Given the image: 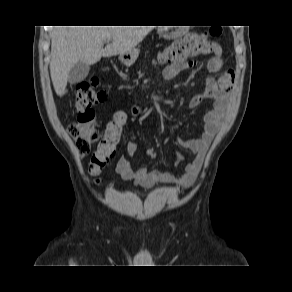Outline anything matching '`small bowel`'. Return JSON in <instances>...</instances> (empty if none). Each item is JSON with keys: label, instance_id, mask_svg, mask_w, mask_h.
Here are the masks:
<instances>
[{"label": "small bowel", "instance_id": "1", "mask_svg": "<svg viewBox=\"0 0 292 292\" xmlns=\"http://www.w3.org/2000/svg\"><path fill=\"white\" fill-rule=\"evenodd\" d=\"M223 64V51L217 44L213 45V56L209 59L207 67L210 73L219 71ZM190 61L174 62L168 65L163 76L166 80L177 77L182 71L193 66ZM234 80V72L229 69L219 77H209L206 82V88L203 93L193 96L189 103L190 109H195L206 99H213L214 105L204 116V126L198 138L180 140L183 148L196 156L192 163L186 166L185 175L181 179H177L169 173L160 171H148L146 168H132L129 157L136 149L135 143L127 145L126 156L121 157L116 164L117 174L125 181H132L140 187H152L159 183L173 184L184 188L190 187L202 166L205 152L215 135L217 134L221 124L223 123L227 107L229 92ZM180 157L178 163L181 162Z\"/></svg>", "mask_w": 292, "mask_h": 292}]
</instances>
